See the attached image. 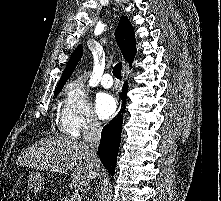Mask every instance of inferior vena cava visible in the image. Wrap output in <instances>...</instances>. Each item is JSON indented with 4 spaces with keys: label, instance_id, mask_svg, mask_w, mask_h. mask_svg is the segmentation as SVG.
Segmentation results:
<instances>
[{
    "label": "inferior vena cava",
    "instance_id": "1",
    "mask_svg": "<svg viewBox=\"0 0 221 201\" xmlns=\"http://www.w3.org/2000/svg\"><path fill=\"white\" fill-rule=\"evenodd\" d=\"M101 126L98 119L92 116L83 129L84 142L90 147L89 155L94 167V178L98 175L99 159L97 150L101 138Z\"/></svg>",
    "mask_w": 221,
    "mask_h": 201
}]
</instances>
